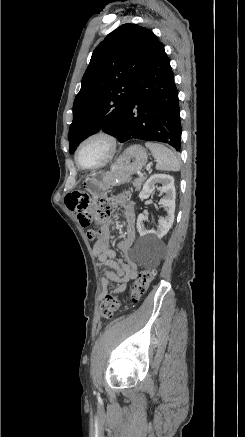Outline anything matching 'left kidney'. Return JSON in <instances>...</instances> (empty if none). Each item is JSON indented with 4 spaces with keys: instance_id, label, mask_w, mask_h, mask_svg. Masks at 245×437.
Wrapping results in <instances>:
<instances>
[{
    "instance_id": "obj_1",
    "label": "left kidney",
    "mask_w": 245,
    "mask_h": 437,
    "mask_svg": "<svg viewBox=\"0 0 245 437\" xmlns=\"http://www.w3.org/2000/svg\"><path fill=\"white\" fill-rule=\"evenodd\" d=\"M162 184L160 191L165 193V196L160 199L159 204L167 209V216L165 218L159 219V226L157 230H147L144 225L146 216L144 214H139L137 218V229L140 236H152L154 239H161L164 237L174 222V212H175V199L176 191L174 186L173 176L167 174H154L152 175L146 183L143 185V189L139 194L141 200L147 199L150 194L155 190L156 184Z\"/></svg>"
}]
</instances>
